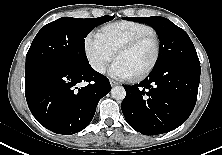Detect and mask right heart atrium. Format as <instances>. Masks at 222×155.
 I'll list each match as a JSON object with an SVG mask.
<instances>
[{
  "instance_id": "1",
  "label": "right heart atrium",
  "mask_w": 222,
  "mask_h": 155,
  "mask_svg": "<svg viewBox=\"0 0 222 155\" xmlns=\"http://www.w3.org/2000/svg\"><path fill=\"white\" fill-rule=\"evenodd\" d=\"M84 47L89 64L98 73H103L115 56V51L98 32H92L85 38Z\"/></svg>"
}]
</instances>
